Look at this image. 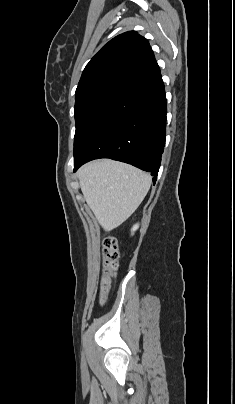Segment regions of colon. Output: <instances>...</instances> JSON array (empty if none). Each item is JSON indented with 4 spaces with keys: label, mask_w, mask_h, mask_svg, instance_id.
I'll return each instance as SVG.
<instances>
[{
    "label": "colon",
    "mask_w": 235,
    "mask_h": 404,
    "mask_svg": "<svg viewBox=\"0 0 235 404\" xmlns=\"http://www.w3.org/2000/svg\"><path fill=\"white\" fill-rule=\"evenodd\" d=\"M118 246L114 237L103 241V276L101 281V301L104 302L111 288L112 280L118 269Z\"/></svg>",
    "instance_id": "colon-1"
}]
</instances>
